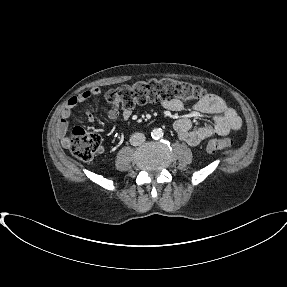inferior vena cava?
I'll return each mask as SVG.
<instances>
[{
    "instance_id": "obj_1",
    "label": "inferior vena cava",
    "mask_w": 287,
    "mask_h": 287,
    "mask_svg": "<svg viewBox=\"0 0 287 287\" xmlns=\"http://www.w3.org/2000/svg\"><path fill=\"white\" fill-rule=\"evenodd\" d=\"M145 135L143 133H134L130 137V144L132 146H138L145 142Z\"/></svg>"
}]
</instances>
